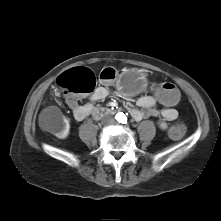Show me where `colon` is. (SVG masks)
<instances>
[{
	"instance_id": "1",
	"label": "colon",
	"mask_w": 221,
	"mask_h": 221,
	"mask_svg": "<svg viewBox=\"0 0 221 221\" xmlns=\"http://www.w3.org/2000/svg\"><path fill=\"white\" fill-rule=\"evenodd\" d=\"M117 72L111 67L104 68L99 79L105 83L114 81ZM60 89L64 90L67 98H76L77 95L94 91L97 78L92 70L86 67H76L63 73L57 80ZM147 93L158 100L165 108H176L180 104L181 90L174 83L150 82ZM188 134V126L178 123L169 130L172 140L184 139Z\"/></svg>"
}]
</instances>
